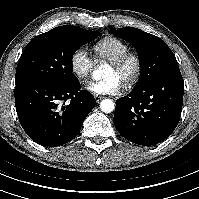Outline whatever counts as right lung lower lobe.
Returning <instances> with one entry per match:
<instances>
[{"label":"right lung lower lobe","instance_id":"obj_1","mask_svg":"<svg viewBox=\"0 0 199 199\" xmlns=\"http://www.w3.org/2000/svg\"><path fill=\"white\" fill-rule=\"evenodd\" d=\"M80 89L78 79L61 85L43 81L16 85V111L27 135L49 147L74 139L96 104L91 93Z\"/></svg>","mask_w":199,"mask_h":199}]
</instances>
